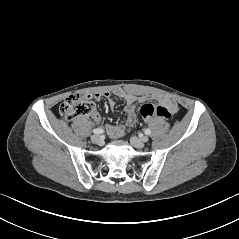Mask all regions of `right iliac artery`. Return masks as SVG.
I'll list each match as a JSON object with an SVG mask.
<instances>
[{
    "label": "right iliac artery",
    "mask_w": 239,
    "mask_h": 239,
    "mask_svg": "<svg viewBox=\"0 0 239 239\" xmlns=\"http://www.w3.org/2000/svg\"><path fill=\"white\" fill-rule=\"evenodd\" d=\"M103 132H104V131H103L102 128H96V129L93 130V133H94V134H101V133H103Z\"/></svg>",
    "instance_id": "right-iliac-artery-1"
}]
</instances>
